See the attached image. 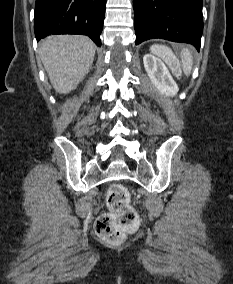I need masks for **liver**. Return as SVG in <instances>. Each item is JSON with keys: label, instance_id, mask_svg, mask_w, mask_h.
Returning <instances> with one entry per match:
<instances>
[{"label": "liver", "instance_id": "6515ba94", "mask_svg": "<svg viewBox=\"0 0 233 284\" xmlns=\"http://www.w3.org/2000/svg\"><path fill=\"white\" fill-rule=\"evenodd\" d=\"M96 46L81 35H52L40 42L39 55L56 92L67 94L88 74Z\"/></svg>", "mask_w": 233, "mask_h": 284}]
</instances>
